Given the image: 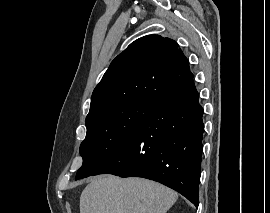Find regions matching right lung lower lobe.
I'll return each mask as SVG.
<instances>
[{
    "instance_id": "98d812e1",
    "label": "right lung lower lobe",
    "mask_w": 270,
    "mask_h": 213,
    "mask_svg": "<svg viewBox=\"0 0 270 213\" xmlns=\"http://www.w3.org/2000/svg\"><path fill=\"white\" fill-rule=\"evenodd\" d=\"M202 117L192 79L158 102L132 137L93 175L151 179L178 191L198 207Z\"/></svg>"
}]
</instances>
